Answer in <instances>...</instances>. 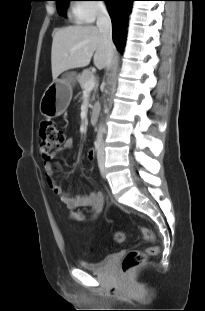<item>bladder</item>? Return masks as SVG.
I'll list each match as a JSON object with an SVG mask.
<instances>
[{
	"label": "bladder",
	"instance_id": "obj_1",
	"mask_svg": "<svg viewBox=\"0 0 205 311\" xmlns=\"http://www.w3.org/2000/svg\"><path fill=\"white\" fill-rule=\"evenodd\" d=\"M114 258L113 255L106 256L105 258L95 261V262H87L84 260L79 261L78 265L82 269L88 270V271H103L106 266L110 263V261Z\"/></svg>",
	"mask_w": 205,
	"mask_h": 311
}]
</instances>
